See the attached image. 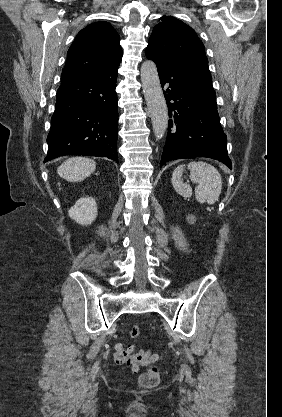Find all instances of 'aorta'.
<instances>
[{
    "mask_svg": "<svg viewBox=\"0 0 282 417\" xmlns=\"http://www.w3.org/2000/svg\"><path fill=\"white\" fill-rule=\"evenodd\" d=\"M140 76L152 120L153 132L156 138H161L168 126V108L161 88L157 66L153 60L142 62Z\"/></svg>",
    "mask_w": 282,
    "mask_h": 417,
    "instance_id": "aorta-1",
    "label": "aorta"
}]
</instances>
